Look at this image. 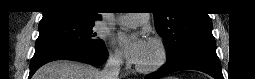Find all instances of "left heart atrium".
<instances>
[{
    "instance_id": "left-heart-atrium-1",
    "label": "left heart atrium",
    "mask_w": 255,
    "mask_h": 79,
    "mask_svg": "<svg viewBox=\"0 0 255 79\" xmlns=\"http://www.w3.org/2000/svg\"><path fill=\"white\" fill-rule=\"evenodd\" d=\"M117 42L120 45L126 58L131 63L138 64L144 56L148 42L141 35H128L126 33H120L117 36Z\"/></svg>"
}]
</instances>
